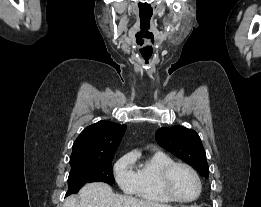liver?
<instances>
[{"label": "liver", "mask_w": 261, "mask_h": 207, "mask_svg": "<svg viewBox=\"0 0 261 207\" xmlns=\"http://www.w3.org/2000/svg\"><path fill=\"white\" fill-rule=\"evenodd\" d=\"M63 207H172L133 196L115 194L112 188L103 182L86 184L79 192V200L69 196Z\"/></svg>", "instance_id": "obj_1"}]
</instances>
